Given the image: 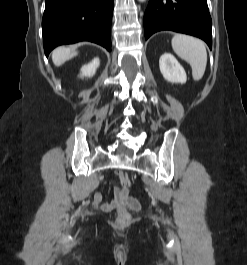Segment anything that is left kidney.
<instances>
[{
    "label": "left kidney",
    "mask_w": 247,
    "mask_h": 265,
    "mask_svg": "<svg viewBox=\"0 0 247 265\" xmlns=\"http://www.w3.org/2000/svg\"><path fill=\"white\" fill-rule=\"evenodd\" d=\"M159 68L165 80L171 83H186L184 68L170 53H164L159 60Z\"/></svg>",
    "instance_id": "1"
}]
</instances>
